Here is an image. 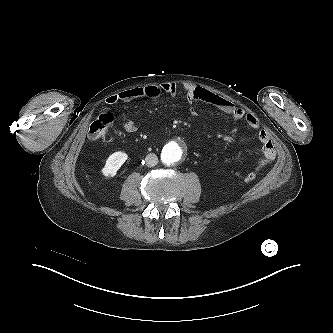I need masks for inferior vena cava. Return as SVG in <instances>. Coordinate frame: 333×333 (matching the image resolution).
Segmentation results:
<instances>
[{"label":"inferior vena cava","mask_w":333,"mask_h":333,"mask_svg":"<svg viewBox=\"0 0 333 333\" xmlns=\"http://www.w3.org/2000/svg\"><path fill=\"white\" fill-rule=\"evenodd\" d=\"M145 161H146V165L148 167H153V166L157 165L158 157L155 154L150 153L146 156Z\"/></svg>","instance_id":"obj_1"}]
</instances>
